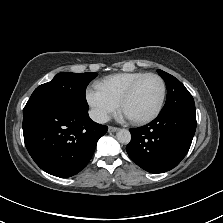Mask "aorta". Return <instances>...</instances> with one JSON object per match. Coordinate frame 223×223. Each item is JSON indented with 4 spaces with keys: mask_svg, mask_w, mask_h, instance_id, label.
<instances>
[{
    "mask_svg": "<svg viewBox=\"0 0 223 223\" xmlns=\"http://www.w3.org/2000/svg\"><path fill=\"white\" fill-rule=\"evenodd\" d=\"M116 138L120 143L127 144L131 139V134L129 130L125 128H120L116 133Z\"/></svg>",
    "mask_w": 223,
    "mask_h": 223,
    "instance_id": "aorta-1",
    "label": "aorta"
}]
</instances>
